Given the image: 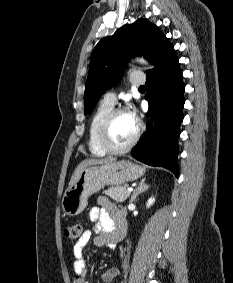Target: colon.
Masks as SVG:
<instances>
[{"instance_id":"5ec220e1","label":"colon","mask_w":233,"mask_h":283,"mask_svg":"<svg viewBox=\"0 0 233 283\" xmlns=\"http://www.w3.org/2000/svg\"><path fill=\"white\" fill-rule=\"evenodd\" d=\"M83 233V223L82 221H76L75 223L69 225L64 230V237L70 242H75L80 239Z\"/></svg>"}]
</instances>
